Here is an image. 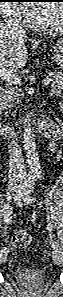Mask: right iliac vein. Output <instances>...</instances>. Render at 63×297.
I'll list each match as a JSON object with an SVG mask.
<instances>
[{"mask_svg":"<svg viewBox=\"0 0 63 297\" xmlns=\"http://www.w3.org/2000/svg\"><path fill=\"white\" fill-rule=\"evenodd\" d=\"M6 255L7 254H3V256L0 258L2 262H4L6 260Z\"/></svg>","mask_w":63,"mask_h":297,"instance_id":"63e3f726","label":"right iliac vein"}]
</instances>
